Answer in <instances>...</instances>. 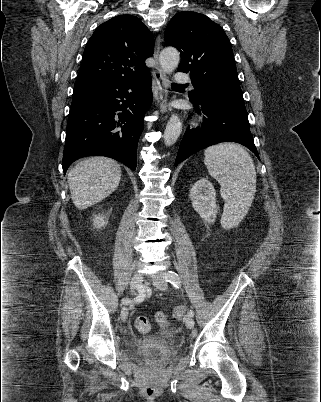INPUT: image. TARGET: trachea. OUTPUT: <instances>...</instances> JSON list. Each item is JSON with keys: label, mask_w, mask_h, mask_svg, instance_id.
<instances>
[{"label": "trachea", "mask_w": 321, "mask_h": 402, "mask_svg": "<svg viewBox=\"0 0 321 402\" xmlns=\"http://www.w3.org/2000/svg\"><path fill=\"white\" fill-rule=\"evenodd\" d=\"M171 86H172V87H180V86H185V84H176V83H172Z\"/></svg>", "instance_id": "3493384b"}]
</instances>
